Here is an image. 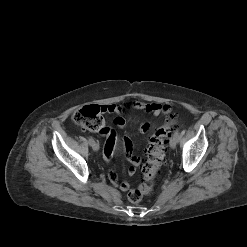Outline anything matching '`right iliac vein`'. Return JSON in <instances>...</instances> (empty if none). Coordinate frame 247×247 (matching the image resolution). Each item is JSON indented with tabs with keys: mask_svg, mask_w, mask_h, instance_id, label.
<instances>
[{
	"mask_svg": "<svg viewBox=\"0 0 247 247\" xmlns=\"http://www.w3.org/2000/svg\"><path fill=\"white\" fill-rule=\"evenodd\" d=\"M90 145L94 151L99 150V144L97 142L93 141Z\"/></svg>",
	"mask_w": 247,
	"mask_h": 247,
	"instance_id": "right-iliac-vein-1",
	"label": "right iliac vein"
}]
</instances>
